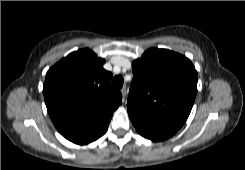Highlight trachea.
Masks as SVG:
<instances>
[{"label": "trachea", "mask_w": 245, "mask_h": 170, "mask_svg": "<svg viewBox=\"0 0 245 170\" xmlns=\"http://www.w3.org/2000/svg\"><path fill=\"white\" fill-rule=\"evenodd\" d=\"M123 82H124L123 77L120 76V75L115 76V77L113 78V86H114L116 89L122 88Z\"/></svg>", "instance_id": "obj_1"}]
</instances>
